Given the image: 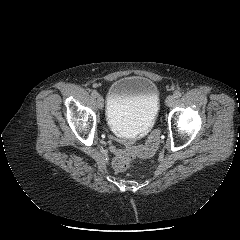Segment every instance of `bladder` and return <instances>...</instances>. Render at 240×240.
<instances>
[{
	"label": "bladder",
	"instance_id": "1",
	"mask_svg": "<svg viewBox=\"0 0 240 240\" xmlns=\"http://www.w3.org/2000/svg\"><path fill=\"white\" fill-rule=\"evenodd\" d=\"M159 107V91L151 79L125 76L110 85L106 118L113 131L137 137L154 125Z\"/></svg>",
	"mask_w": 240,
	"mask_h": 240
}]
</instances>
